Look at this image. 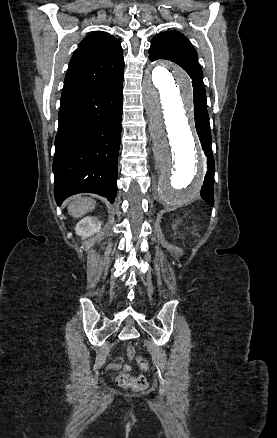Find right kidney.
I'll list each match as a JSON object with an SVG mask.
<instances>
[{"mask_svg": "<svg viewBox=\"0 0 277 438\" xmlns=\"http://www.w3.org/2000/svg\"><path fill=\"white\" fill-rule=\"evenodd\" d=\"M103 222H99V218L96 216H86L83 220H80L75 226V232L77 236H82V240L94 236L97 232H100Z\"/></svg>", "mask_w": 277, "mask_h": 438, "instance_id": "obj_1", "label": "right kidney"}]
</instances>
